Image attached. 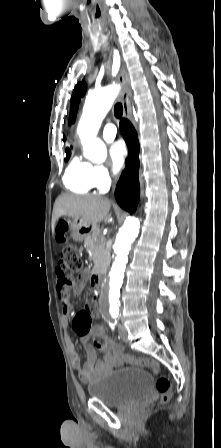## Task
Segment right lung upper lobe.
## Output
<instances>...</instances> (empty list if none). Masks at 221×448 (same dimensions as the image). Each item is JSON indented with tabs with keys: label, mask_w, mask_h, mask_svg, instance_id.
I'll return each instance as SVG.
<instances>
[{
	"label": "right lung upper lobe",
	"mask_w": 221,
	"mask_h": 448,
	"mask_svg": "<svg viewBox=\"0 0 221 448\" xmlns=\"http://www.w3.org/2000/svg\"><path fill=\"white\" fill-rule=\"evenodd\" d=\"M63 140H65V137L63 138ZM66 152H70V149H69V148H67V149H66Z\"/></svg>",
	"instance_id": "obj_1"
}]
</instances>
